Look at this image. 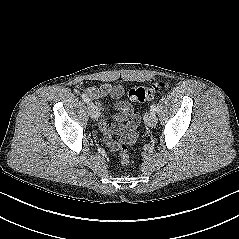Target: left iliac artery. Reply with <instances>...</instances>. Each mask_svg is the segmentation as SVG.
I'll return each mask as SVG.
<instances>
[{
	"mask_svg": "<svg viewBox=\"0 0 239 239\" xmlns=\"http://www.w3.org/2000/svg\"><path fill=\"white\" fill-rule=\"evenodd\" d=\"M150 108H151L150 111L155 112L156 111V104L153 103Z\"/></svg>",
	"mask_w": 239,
	"mask_h": 239,
	"instance_id": "left-iliac-artery-1",
	"label": "left iliac artery"
}]
</instances>
